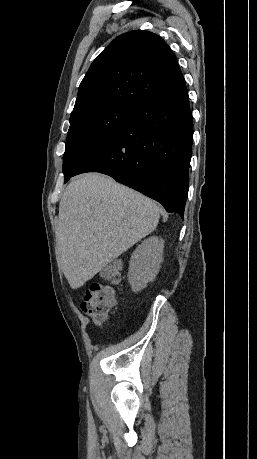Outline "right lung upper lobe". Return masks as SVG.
<instances>
[{
	"instance_id": "cb5924a9",
	"label": "right lung upper lobe",
	"mask_w": 257,
	"mask_h": 459,
	"mask_svg": "<svg viewBox=\"0 0 257 459\" xmlns=\"http://www.w3.org/2000/svg\"><path fill=\"white\" fill-rule=\"evenodd\" d=\"M181 78L176 56L161 37L143 30L127 32L91 64L79 86L70 121L109 106L136 108Z\"/></svg>"
}]
</instances>
